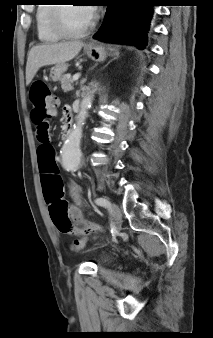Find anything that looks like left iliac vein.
<instances>
[{
  "instance_id": "1",
  "label": "left iliac vein",
  "mask_w": 213,
  "mask_h": 338,
  "mask_svg": "<svg viewBox=\"0 0 213 338\" xmlns=\"http://www.w3.org/2000/svg\"><path fill=\"white\" fill-rule=\"evenodd\" d=\"M110 204V210L118 224V228L117 231L120 230V223H121V219H122V213L120 208L118 207V205H116L115 203L109 202Z\"/></svg>"
}]
</instances>
